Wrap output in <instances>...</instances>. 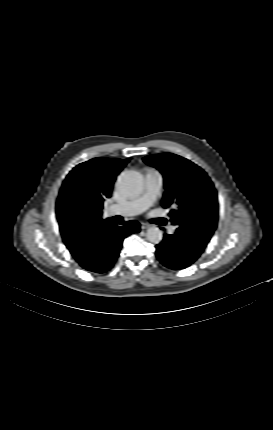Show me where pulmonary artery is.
<instances>
[{"label":"pulmonary artery","mask_w":273,"mask_h":430,"mask_svg":"<svg viewBox=\"0 0 273 430\" xmlns=\"http://www.w3.org/2000/svg\"><path fill=\"white\" fill-rule=\"evenodd\" d=\"M163 187V177L160 172L151 170L145 177L144 192L129 201L113 204L107 208V214L110 216H135L148 209L160 196ZM175 232V226L169 228V233Z\"/></svg>","instance_id":"obj_1"}]
</instances>
